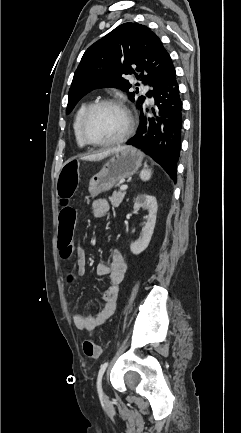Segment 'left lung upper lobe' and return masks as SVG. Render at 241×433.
<instances>
[{
    "instance_id": "5c2ea615",
    "label": "left lung upper lobe",
    "mask_w": 241,
    "mask_h": 433,
    "mask_svg": "<svg viewBox=\"0 0 241 433\" xmlns=\"http://www.w3.org/2000/svg\"><path fill=\"white\" fill-rule=\"evenodd\" d=\"M171 64V57L155 33L141 24L124 23L84 53L69 89L66 112H70L93 89L116 87L127 92L132 85L123 75L135 74L138 80L154 89ZM136 71L141 74L138 76ZM151 92L146 95L150 97ZM128 98L134 101L135 92H128ZM144 100V96L138 98L137 107L140 111L143 109L140 104Z\"/></svg>"
}]
</instances>
